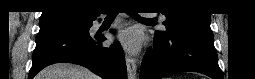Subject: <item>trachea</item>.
<instances>
[{
	"mask_svg": "<svg viewBox=\"0 0 255 79\" xmlns=\"http://www.w3.org/2000/svg\"><path fill=\"white\" fill-rule=\"evenodd\" d=\"M117 15V13L111 12V13H107V17L106 18H115ZM132 17H134L137 20H142V21H152L153 19H147V18H141L136 14H131Z\"/></svg>",
	"mask_w": 255,
	"mask_h": 79,
	"instance_id": "1",
	"label": "trachea"
}]
</instances>
